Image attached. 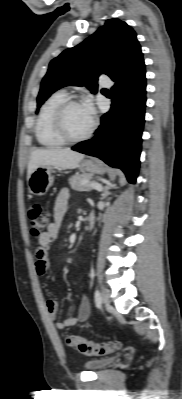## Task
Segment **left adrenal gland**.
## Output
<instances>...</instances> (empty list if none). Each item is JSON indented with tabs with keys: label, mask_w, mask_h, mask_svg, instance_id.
<instances>
[{
	"label": "left adrenal gland",
	"mask_w": 182,
	"mask_h": 399,
	"mask_svg": "<svg viewBox=\"0 0 182 399\" xmlns=\"http://www.w3.org/2000/svg\"><path fill=\"white\" fill-rule=\"evenodd\" d=\"M112 188H116L115 185L109 184V185H107V186L104 188L103 193H102V199H105L108 195L111 194V193L109 192V190L112 189Z\"/></svg>",
	"instance_id": "obj_1"
}]
</instances>
